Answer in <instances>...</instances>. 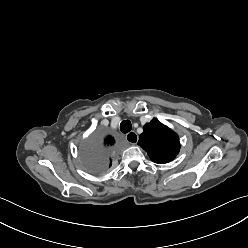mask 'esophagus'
<instances>
[{
  "instance_id": "1",
  "label": "esophagus",
  "mask_w": 248,
  "mask_h": 248,
  "mask_svg": "<svg viewBox=\"0 0 248 248\" xmlns=\"http://www.w3.org/2000/svg\"><path fill=\"white\" fill-rule=\"evenodd\" d=\"M126 140L128 143L132 144V145H135L138 141V135L132 131V132H129L127 135H126Z\"/></svg>"
}]
</instances>
